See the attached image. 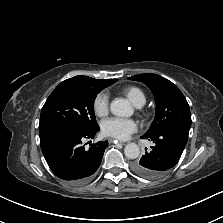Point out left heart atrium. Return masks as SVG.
I'll return each instance as SVG.
<instances>
[{"mask_svg": "<svg viewBox=\"0 0 223 223\" xmlns=\"http://www.w3.org/2000/svg\"><path fill=\"white\" fill-rule=\"evenodd\" d=\"M137 123L132 119L110 118L103 121L101 129L104 135L126 140L137 131Z\"/></svg>", "mask_w": 223, "mask_h": 223, "instance_id": "1", "label": "left heart atrium"}]
</instances>
